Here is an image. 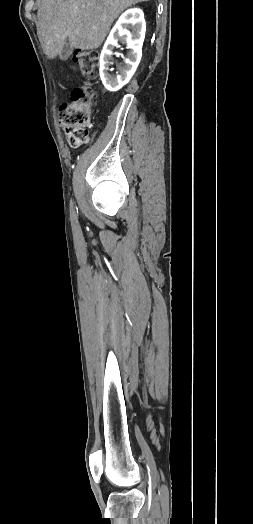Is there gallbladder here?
I'll use <instances>...</instances> for the list:
<instances>
[{
  "label": "gallbladder",
  "instance_id": "bac80fb5",
  "mask_svg": "<svg viewBox=\"0 0 253 524\" xmlns=\"http://www.w3.org/2000/svg\"><path fill=\"white\" fill-rule=\"evenodd\" d=\"M72 51H73V47L71 43L69 41H66L59 53V58L62 61H66L70 57Z\"/></svg>",
  "mask_w": 253,
  "mask_h": 524
}]
</instances>
